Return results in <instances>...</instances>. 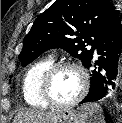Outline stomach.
Listing matches in <instances>:
<instances>
[{
    "label": "stomach",
    "mask_w": 122,
    "mask_h": 123,
    "mask_svg": "<svg viewBox=\"0 0 122 123\" xmlns=\"http://www.w3.org/2000/svg\"><path fill=\"white\" fill-rule=\"evenodd\" d=\"M88 116L83 111L63 110L49 123H87Z\"/></svg>",
    "instance_id": "obj_1"
}]
</instances>
